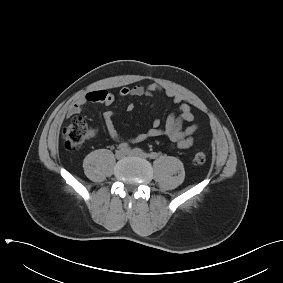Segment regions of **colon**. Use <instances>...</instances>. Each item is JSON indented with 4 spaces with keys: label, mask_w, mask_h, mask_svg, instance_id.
I'll return each instance as SVG.
<instances>
[{
    "label": "colon",
    "mask_w": 283,
    "mask_h": 283,
    "mask_svg": "<svg viewBox=\"0 0 283 283\" xmlns=\"http://www.w3.org/2000/svg\"><path fill=\"white\" fill-rule=\"evenodd\" d=\"M89 135V127L82 117H75L63 129L62 137L65 147L74 151L81 147L87 136ZM206 161L205 153L198 151L193 156V163L202 165Z\"/></svg>",
    "instance_id": "obj_1"
}]
</instances>
